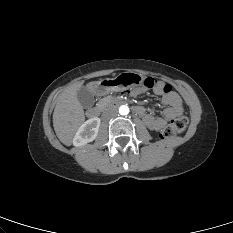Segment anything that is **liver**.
<instances>
[{"mask_svg": "<svg viewBox=\"0 0 233 233\" xmlns=\"http://www.w3.org/2000/svg\"><path fill=\"white\" fill-rule=\"evenodd\" d=\"M94 82L87 85L92 93H96ZM83 82H76L68 86L57 98L53 113V127L59 140L70 145L72 139L85 121L84 110L77 99V92Z\"/></svg>", "mask_w": 233, "mask_h": 233, "instance_id": "liver-1", "label": "liver"}]
</instances>
